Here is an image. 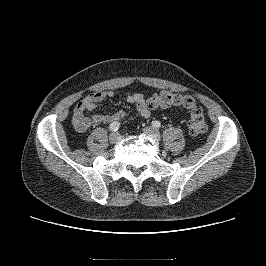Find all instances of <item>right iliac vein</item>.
<instances>
[{
  "instance_id": "63e3f726",
  "label": "right iliac vein",
  "mask_w": 266,
  "mask_h": 266,
  "mask_svg": "<svg viewBox=\"0 0 266 266\" xmlns=\"http://www.w3.org/2000/svg\"><path fill=\"white\" fill-rule=\"evenodd\" d=\"M120 135L118 132H113L109 135V142L115 144L119 141Z\"/></svg>"
}]
</instances>
